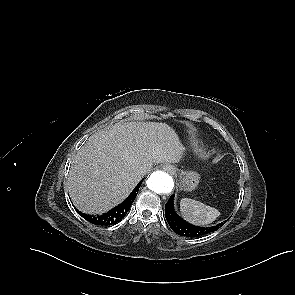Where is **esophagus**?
I'll list each match as a JSON object with an SVG mask.
<instances>
[{"mask_svg":"<svg viewBox=\"0 0 295 295\" xmlns=\"http://www.w3.org/2000/svg\"><path fill=\"white\" fill-rule=\"evenodd\" d=\"M163 169L165 170V171H167L168 173H175V167L174 166H172V165H165L164 167H163Z\"/></svg>","mask_w":295,"mask_h":295,"instance_id":"obj_1","label":"esophagus"}]
</instances>
